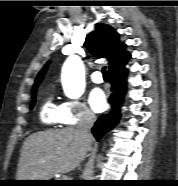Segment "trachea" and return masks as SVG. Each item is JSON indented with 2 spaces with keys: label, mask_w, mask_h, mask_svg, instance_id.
I'll return each instance as SVG.
<instances>
[{
  "label": "trachea",
  "mask_w": 178,
  "mask_h": 186,
  "mask_svg": "<svg viewBox=\"0 0 178 186\" xmlns=\"http://www.w3.org/2000/svg\"><path fill=\"white\" fill-rule=\"evenodd\" d=\"M102 74H103V78H107L108 77L107 72H106V67L102 68Z\"/></svg>",
  "instance_id": "1"
}]
</instances>
